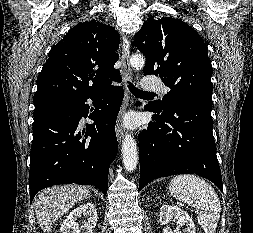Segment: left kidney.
I'll return each mask as SVG.
<instances>
[{
	"instance_id": "5707ae66",
	"label": "left kidney",
	"mask_w": 253,
	"mask_h": 233,
	"mask_svg": "<svg viewBox=\"0 0 253 233\" xmlns=\"http://www.w3.org/2000/svg\"><path fill=\"white\" fill-rule=\"evenodd\" d=\"M172 218L177 220L179 227L185 226V233H196L194 222L186 211L174 205H162L159 214L160 223L166 225ZM176 233L181 232L177 229Z\"/></svg>"
}]
</instances>
